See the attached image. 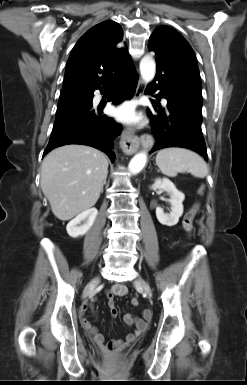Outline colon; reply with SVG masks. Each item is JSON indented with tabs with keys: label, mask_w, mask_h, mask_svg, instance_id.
I'll return each instance as SVG.
<instances>
[{
	"label": "colon",
	"mask_w": 247,
	"mask_h": 385,
	"mask_svg": "<svg viewBox=\"0 0 247 385\" xmlns=\"http://www.w3.org/2000/svg\"><path fill=\"white\" fill-rule=\"evenodd\" d=\"M202 192V190H201ZM199 204H194L188 211L187 213L185 214L184 218H183V222H182V225H183V228L186 232L190 233L193 229V222H194V219H195V216L197 215L198 211H199ZM139 304V301L134 298L132 300V305L133 306H137ZM108 349L109 350H114L115 347L111 344L108 345Z\"/></svg>",
	"instance_id": "colon-1"
}]
</instances>
